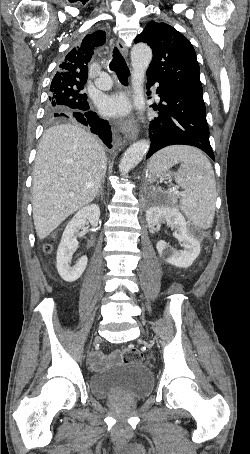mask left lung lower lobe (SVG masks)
Returning <instances> with one entry per match:
<instances>
[{
    "instance_id": "1",
    "label": "left lung lower lobe",
    "mask_w": 250,
    "mask_h": 454,
    "mask_svg": "<svg viewBox=\"0 0 250 454\" xmlns=\"http://www.w3.org/2000/svg\"><path fill=\"white\" fill-rule=\"evenodd\" d=\"M148 80L150 84L158 82ZM157 93L161 103L158 107L153 106L159 112L151 121L149 136L152 143L147 158L166 146L182 144L198 147L214 160L202 90L160 84Z\"/></svg>"
}]
</instances>
